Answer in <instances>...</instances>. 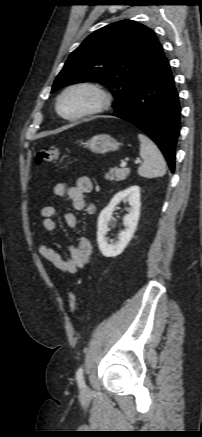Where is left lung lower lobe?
Listing matches in <instances>:
<instances>
[{"mask_svg": "<svg viewBox=\"0 0 202 437\" xmlns=\"http://www.w3.org/2000/svg\"><path fill=\"white\" fill-rule=\"evenodd\" d=\"M180 111L174 77L166 59L160 70L118 106L112 115L146 133L157 144L174 172Z\"/></svg>", "mask_w": 202, "mask_h": 437, "instance_id": "obj_1", "label": "left lung lower lobe"}]
</instances>
